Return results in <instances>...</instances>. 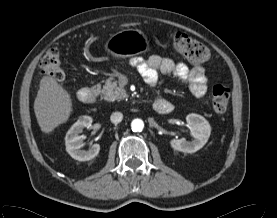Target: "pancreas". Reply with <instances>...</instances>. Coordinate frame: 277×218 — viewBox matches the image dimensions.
I'll return each instance as SVG.
<instances>
[{"label": "pancreas", "mask_w": 277, "mask_h": 218, "mask_svg": "<svg viewBox=\"0 0 277 218\" xmlns=\"http://www.w3.org/2000/svg\"><path fill=\"white\" fill-rule=\"evenodd\" d=\"M95 88L100 90L103 98L107 101H120L128 97L124 87L118 86L117 81L107 80L102 89L100 85H97Z\"/></svg>", "instance_id": "1"}]
</instances>
